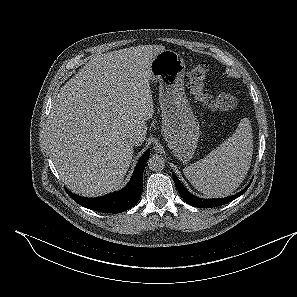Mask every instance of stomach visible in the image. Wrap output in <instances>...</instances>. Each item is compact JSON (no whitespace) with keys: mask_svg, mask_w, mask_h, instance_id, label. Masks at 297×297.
Instances as JSON below:
<instances>
[{"mask_svg":"<svg viewBox=\"0 0 297 297\" xmlns=\"http://www.w3.org/2000/svg\"><path fill=\"white\" fill-rule=\"evenodd\" d=\"M185 62L176 52L164 49L150 64V80L159 83L162 132L168 147L183 163L195 153L199 122L184 90Z\"/></svg>","mask_w":297,"mask_h":297,"instance_id":"obj_1","label":"stomach"}]
</instances>
